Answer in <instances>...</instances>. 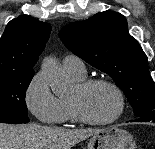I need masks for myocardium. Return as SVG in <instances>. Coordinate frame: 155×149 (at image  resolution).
I'll return each instance as SVG.
<instances>
[{"label":"myocardium","mask_w":155,"mask_h":149,"mask_svg":"<svg viewBox=\"0 0 155 149\" xmlns=\"http://www.w3.org/2000/svg\"><path fill=\"white\" fill-rule=\"evenodd\" d=\"M96 85H106L110 87L117 95L118 98V110L117 113L110 119L104 120V121H99V120H94L90 118L86 112L84 111L82 105L75 101V100H70V103L73 107V110L76 114L77 119L87 125L91 126H107L115 123L118 121L124 114L125 112V107H126V100H125V95L122 89L113 81L104 79V78H92V79H86L78 83V88L80 91L85 92L92 87Z\"/></svg>","instance_id":"myocardium-1"}]
</instances>
